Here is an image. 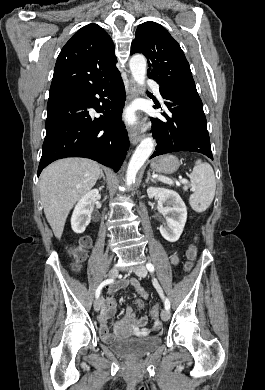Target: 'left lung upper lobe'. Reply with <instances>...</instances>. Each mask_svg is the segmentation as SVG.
Wrapping results in <instances>:
<instances>
[{"mask_svg": "<svg viewBox=\"0 0 265 390\" xmlns=\"http://www.w3.org/2000/svg\"><path fill=\"white\" fill-rule=\"evenodd\" d=\"M143 53L148 59V77L160 88L195 87L189 63L177 41L160 24H140L131 44V54Z\"/></svg>", "mask_w": 265, "mask_h": 390, "instance_id": "1", "label": "left lung upper lobe"}]
</instances>
